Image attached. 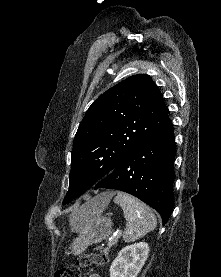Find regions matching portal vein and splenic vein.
Returning <instances> with one entry per match:
<instances>
[{
	"label": "portal vein and splenic vein",
	"instance_id": "portal-vein-and-splenic-vein-1",
	"mask_svg": "<svg viewBox=\"0 0 221 277\" xmlns=\"http://www.w3.org/2000/svg\"><path fill=\"white\" fill-rule=\"evenodd\" d=\"M118 235H119V232H115L113 234V237L111 238L107 248H110L116 242Z\"/></svg>",
	"mask_w": 221,
	"mask_h": 277
}]
</instances>
